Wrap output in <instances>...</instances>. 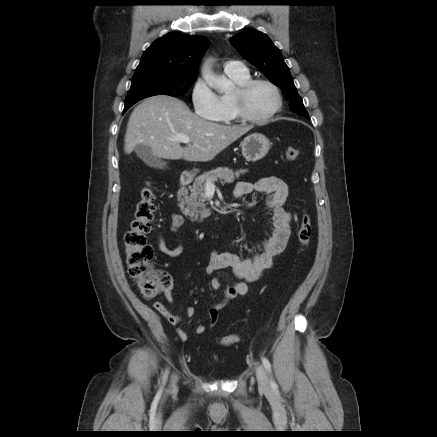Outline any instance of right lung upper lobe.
Instances as JSON below:
<instances>
[{
  "instance_id": "cb5924a9",
  "label": "right lung upper lobe",
  "mask_w": 437,
  "mask_h": 437,
  "mask_svg": "<svg viewBox=\"0 0 437 437\" xmlns=\"http://www.w3.org/2000/svg\"><path fill=\"white\" fill-rule=\"evenodd\" d=\"M209 40L204 36L168 33L143 54L135 72L157 69L177 76H196Z\"/></svg>"
}]
</instances>
